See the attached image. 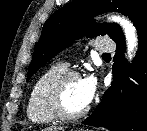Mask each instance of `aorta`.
<instances>
[{
    "label": "aorta",
    "instance_id": "aorta-1",
    "mask_svg": "<svg viewBox=\"0 0 147 131\" xmlns=\"http://www.w3.org/2000/svg\"><path fill=\"white\" fill-rule=\"evenodd\" d=\"M110 20L122 26L127 43L128 57L129 60H131L135 54V50L137 48V41H138L135 27L130 21L120 16H112Z\"/></svg>",
    "mask_w": 147,
    "mask_h": 131
}]
</instances>
